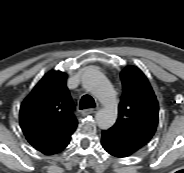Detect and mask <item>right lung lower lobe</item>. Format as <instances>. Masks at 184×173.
<instances>
[{"mask_svg": "<svg viewBox=\"0 0 184 173\" xmlns=\"http://www.w3.org/2000/svg\"><path fill=\"white\" fill-rule=\"evenodd\" d=\"M69 144V142L60 150V151H58L57 153H59V152H61L63 149H65L66 148V146ZM56 154V153H55Z\"/></svg>", "mask_w": 184, "mask_h": 173, "instance_id": "obj_1", "label": "right lung lower lobe"}]
</instances>
